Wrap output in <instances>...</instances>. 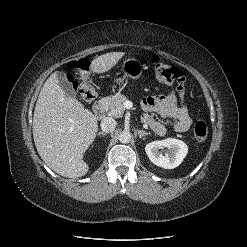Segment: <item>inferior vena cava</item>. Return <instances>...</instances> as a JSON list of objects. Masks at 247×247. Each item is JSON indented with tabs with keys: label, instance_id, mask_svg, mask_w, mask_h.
<instances>
[{
	"label": "inferior vena cava",
	"instance_id": "1",
	"mask_svg": "<svg viewBox=\"0 0 247 247\" xmlns=\"http://www.w3.org/2000/svg\"><path fill=\"white\" fill-rule=\"evenodd\" d=\"M117 123L112 117H105L101 121V129L105 133H109L115 130Z\"/></svg>",
	"mask_w": 247,
	"mask_h": 247
}]
</instances>
